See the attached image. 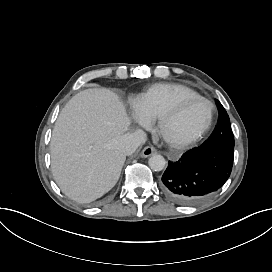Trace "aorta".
Returning <instances> with one entry per match:
<instances>
[{
	"instance_id": "aorta-1",
	"label": "aorta",
	"mask_w": 272,
	"mask_h": 272,
	"mask_svg": "<svg viewBox=\"0 0 272 272\" xmlns=\"http://www.w3.org/2000/svg\"><path fill=\"white\" fill-rule=\"evenodd\" d=\"M148 164L152 170L159 172L165 168L166 162L163 156L153 155L149 158Z\"/></svg>"
}]
</instances>
